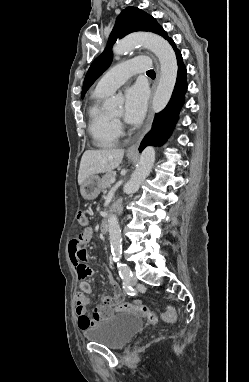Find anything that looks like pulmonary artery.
I'll return each mask as SVG.
<instances>
[{
  "label": "pulmonary artery",
  "instance_id": "1",
  "mask_svg": "<svg viewBox=\"0 0 249 382\" xmlns=\"http://www.w3.org/2000/svg\"><path fill=\"white\" fill-rule=\"evenodd\" d=\"M150 69V61L145 57H137L116 64L97 83L96 90L112 93L134 73Z\"/></svg>",
  "mask_w": 249,
  "mask_h": 382
}]
</instances>
